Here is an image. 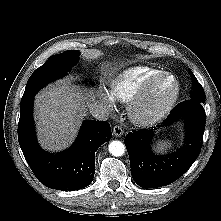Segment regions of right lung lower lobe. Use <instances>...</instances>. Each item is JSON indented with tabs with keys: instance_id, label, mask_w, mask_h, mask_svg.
<instances>
[{
	"instance_id": "right-lung-lower-lobe-1",
	"label": "right lung lower lobe",
	"mask_w": 221,
	"mask_h": 221,
	"mask_svg": "<svg viewBox=\"0 0 221 221\" xmlns=\"http://www.w3.org/2000/svg\"><path fill=\"white\" fill-rule=\"evenodd\" d=\"M33 101L21 103L18 141L37 179L45 186L74 191L88 186L94 177L95 152L112 137L106 121H84L76 142L67 151L50 154L38 145L33 118Z\"/></svg>"
}]
</instances>
